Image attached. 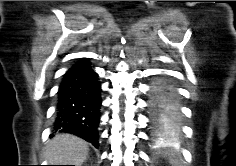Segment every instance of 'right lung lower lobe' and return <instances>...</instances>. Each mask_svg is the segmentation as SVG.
Returning <instances> with one entry per match:
<instances>
[{"instance_id":"1","label":"right lung lower lobe","mask_w":236,"mask_h":166,"mask_svg":"<svg viewBox=\"0 0 236 166\" xmlns=\"http://www.w3.org/2000/svg\"><path fill=\"white\" fill-rule=\"evenodd\" d=\"M101 84L88 60L82 59L66 72L58 90L55 132L71 133L98 147Z\"/></svg>"}]
</instances>
